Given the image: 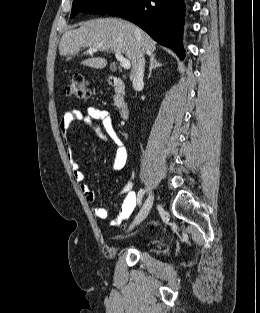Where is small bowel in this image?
<instances>
[{
	"label": "small bowel",
	"instance_id": "small-bowel-1",
	"mask_svg": "<svg viewBox=\"0 0 260 313\" xmlns=\"http://www.w3.org/2000/svg\"><path fill=\"white\" fill-rule=\"evenodd\" d=\"M82 120L91 126L104 140H111L117 145V150L115 153L114 161L111 166V172L120 171L127 162V149L117 132L112 115L110 112L95 107H89L85 112L79 109H72L66 112L61 119L60 129L63 135L65 144L69 147V133L72 124L75 121ZM70 168L73 174V178L79 183V189L85 196L86 201L90 205L93 214L99 219H104L108 215L106 208L98 206L96 204V198L94 192L91 188L84 182L85 175L80 168L77 161L74 160L72 151L68 149L67 152ZM133 183L132 181H127L120 189L119 194L125 195L121 211L116 220L110 222L111 227L119 226L124 220H126L134 210L136 204L138 203V197L131 192Z\"/></svg>",
	"mask_w": 260,
	"mask_h": 313
}]
</instances>
